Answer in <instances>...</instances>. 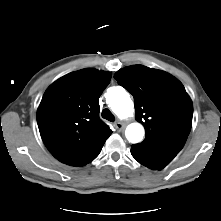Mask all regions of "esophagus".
<instances>
[{"instance_id":"1","label":"esophagus","mask_w":221,"mask_h":221,"mask_svg":"<svg viewBox=\"0 0 221 221\" xmlns=\"http://www.w3.org/2000/svg\"><path fill=\"white\" fill-rule=\"evenodd\" d=\"M114 127L117 129V130H122L123 128H124V124L121 122V121H119V120H117L115 123H114Z\"/></svg>"}]
</instances>
